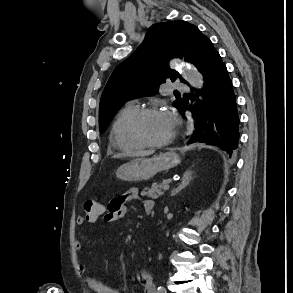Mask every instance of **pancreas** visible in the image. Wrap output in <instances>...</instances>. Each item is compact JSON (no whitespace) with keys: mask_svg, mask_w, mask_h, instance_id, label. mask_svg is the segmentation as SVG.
<instances>
[{"mask_svg":"<svg viewBox=\"0 0 293 293\" xmlns=\"http://www.w3.org/2000/svg\"><path fill=\"white\" fill-rule=\"evenodd\" d=\"M167 183V181H163L161 183H153L150 188H145L142 192V196H147L152 199H157L164 194L163 186Z\"/></svg>","mask_w":293,"mask_h":293,"instance_id":"1","label":"pancreas"}]
</instances>
